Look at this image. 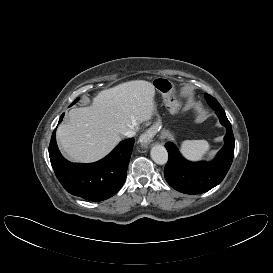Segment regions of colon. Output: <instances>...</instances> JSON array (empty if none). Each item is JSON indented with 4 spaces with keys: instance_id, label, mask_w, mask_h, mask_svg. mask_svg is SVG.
<instances>
[{
    "instance_id": "obj_1",
    "label": "colon",
    "mask_w": 273,
    "mask_h": 273,
    "mask_svg": "<svg viewBox=\"0 0 273 273\" xmlns=\"http://www.w3.org/2000/svg\"><path fill=\"white\" fill-rule=\"evenodd\" d=\"M155 85L162 92H169L172 89V84L166 79H157Z\"/></svg>"
}]
</instances>
